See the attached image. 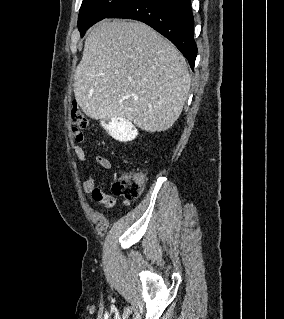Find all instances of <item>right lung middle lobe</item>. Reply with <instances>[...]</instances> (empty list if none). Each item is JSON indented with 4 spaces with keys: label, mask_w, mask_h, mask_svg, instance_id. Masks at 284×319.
I'll list each match as a JSON object with an SVG mask.
<instances>
[{
    "label": "right lung middle lobe",
    "mask_w": 284,
    "mask_h": 319,
    "mask_svg": "<svg viewBox=\"0 0 284 319\" xmlns=\"http://www.w3.org/2000/svg\"><path fill=\"white\" fill-rule=\"evenodd\" d=\"M130 1L131 0H83L78 16V28L81 37L84 36L85 31L93 24L107 18Z\"/></svg>",
    "instance_id": "obj_1"
}]
</instances>
